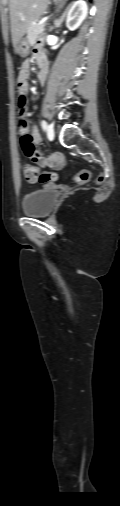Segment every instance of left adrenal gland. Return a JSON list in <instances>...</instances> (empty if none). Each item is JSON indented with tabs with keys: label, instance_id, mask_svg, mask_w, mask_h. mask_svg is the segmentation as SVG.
Instances as JSON below:
<instances>
[{
	"label": "left adrenal gland",
	"instance_id": "1",
	"mask_svg": "<svg viewBox=\"0 0 120 506\" xmlns=\"http://www.w3.org/2000/svg\"><path fill=\"white\" fill-rule=\"evenodd\" d=\"M62 20H63V17H62L61 19L57 20V21L55 22V26H56V27H60V25H61V23H62Z\"/></svg>",
	"mask_w": 120,
	"mask_h": 506
}]
</instances>
